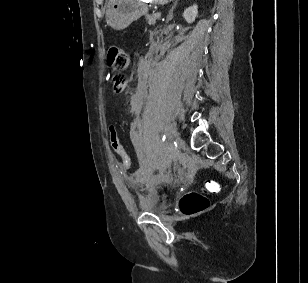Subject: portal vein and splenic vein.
<instances>
[{"label":"portal vein and splenic vein","instance_id":"obj_1","mask_svg":"<svg viewBox=\"0 0 308 283\" xmlns=\"http://www.w3.org/2000/svg\"><path fill=\"white\" fill-rule=\"evenodd\" d=\"M156 15H157L158 18L161 17V13L160 12H157Z\"/></svg>","mask_w":308,"mask_h":283}]
</instances>
